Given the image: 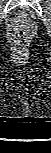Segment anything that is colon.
Masks as SVG:
<instances>
[{
    "label": "colon",
    "instance_id": "colon-1",
    "mask_svg": "<svg viewBox=\"0 0 51 153\" xmlns=\"http://www.w3.org/2000/svg\"><path fill=\"white\" fill-rule=\"evenodd\" d=\"M14 42L19 46H25L29 42L28 34L23 30H16L13 34Z\"/></svg>",
    "mask_w": 51,
    "mask_h": 153
}]
</instances>
